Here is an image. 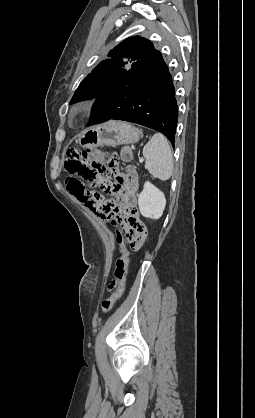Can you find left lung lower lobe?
Listing matches in <instances>:
<instances>
[{"instance_id":"left-lung-lower-lobe-1","label":"left lung lower lobe","mask_w":255,"mask_h":418,"mask_svg":"<svg viewBox=\"0 0 255 418\" xmlns=\"http://www.w3.org/2000/svg\"><path fill=\"white\" fill-rule=\"evenodd\" d=\"M107 120L149 127L163 133L174 145L178 121L175 87L159 51L129 69L96 99L88 125Z\"/></svg>"}]
</instances>
